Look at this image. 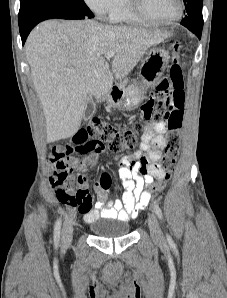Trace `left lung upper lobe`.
<instances>
[{
    "mask_svg": "<svg viewBox=\"0 0 227 298\" xmlns=\"http://www.w3.org/2000/svg\"><path fill=\"white\" fill-rule=\"evenodd\" d=\"M186 15L181 21V24L188 28L194 34L202 33L203 28V16H202V4L203 0H183Z\"/></svg>",
    "mask_w": 227,
    "mask_h": 298,
    "instance_id": "1",
    "label": "left lung upper lobe"
}]
</instances>
